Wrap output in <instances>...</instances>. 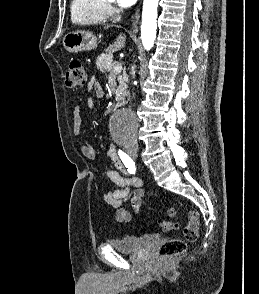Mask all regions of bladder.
<instances>
[{
    "label": "bladder",
    "instance_id": "31cf9c89",
    "mask_svg": "<svg viewBox=\"0 0 259 294\" xmlns=\"http://www.w3.org/2000/svg\"><path fill=\"white\" fill-rule=\"evenodd\" d=\"M158 233L143 235H126L121 238H114L108 241V244L118 252L136 253L144 249L151 243L159 240Z\"/></svg>",
    "mask_w": 259,
    "mask_h": 294
}]
</instances>
